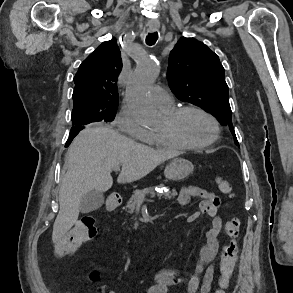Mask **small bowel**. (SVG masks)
<instances>
[{"mask_svg": "<svg viewBox=\"0 0 293 293\" xmlns=\"http://www.w3.org/2000/svg\"><path fill=\"white\" fill-rule=\"evenodd\" d=\"M193 198H200L201 201L198 209L187 217V221L194 223L203 216L211 218V225L206 232L205 244L200 250L194 272L185 277L178 271L162 269L154 274V282L146 288V293H171L173 287L178 284H184L185 293H210L212 289L215 268L211 263L217 254L218 236L223 227V220L219 214L220 198L211 191L190 186L179 190L177 201L179 205L186 206ZM108 293H116V291L110 290Z\"/></svg>", "mask_w": 293, "mask_h": 293, "instance_id": "1", "label": "small bowel"}]
</instances>
